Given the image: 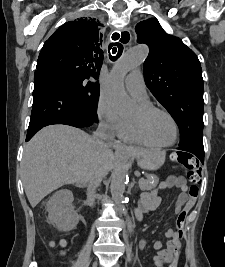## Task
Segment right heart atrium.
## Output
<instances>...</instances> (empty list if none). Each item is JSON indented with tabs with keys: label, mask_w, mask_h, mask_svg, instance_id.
<instances>
[{
	"label": "right heart atrium",
	"mask_w": 225,
	"mask_h": 267,
	"mask_svg": "<svg viewBox=\"0 0 225 267\" xmlns=\"http://www.w3.org/2000/svg\"><path fill=\"white\" fill-rule=\"evenodd\" d=\"M97 114L104 128L122 137L127 120L117 112L113 104L104 96H100L98 100Z\"/></svg>",
	"instance_id": "1"
}]
</instances>
